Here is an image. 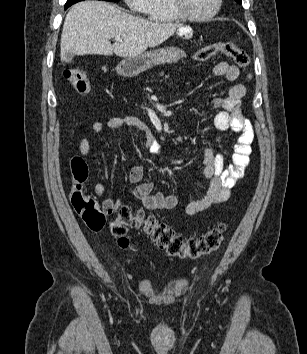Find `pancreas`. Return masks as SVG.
Segmentation results:
<instances>
[{
    "instance_id": "1",
    "label": "pancreas",
    "mask_w": 307,
    "mask_h": 354,
    "mask_svg": "<svg viewBox=\"0 0 307 354\" xmlns=\"http://www.w3.org/2000/svg\"><path fill=\"white\" fill-rule=\"evenodd\" d=\"M161 75H163V73H162ZM168 77H169V76H165V79L168 78Z\"/></svg>"
}]
</instances>
